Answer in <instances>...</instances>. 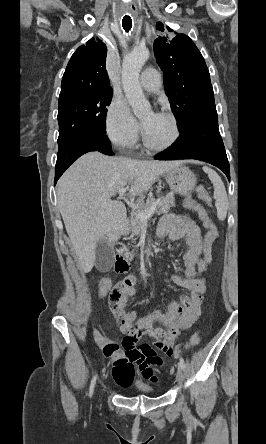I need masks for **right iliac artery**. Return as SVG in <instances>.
Segmentation results:
<instances>
[{
  "mask_svg": "<svg viewBox=\"0 0 266 444\" xmlns=\"http://www.w3.org/2000/svg\"><path fill=\"white\" fill-rule=\"evenodd\" d=\"M96 379H97V375H95L93 377V380L91 381V386H90V391H89V395L90 396H92V394H93V390H94V386H95V383H96Z\"/></svg>",
  "mask_w": 266,
  "mask_h": 444,
  "instance_id": "right-iliac-artery-1",
  "label": "right iliac artery"
}]
</instances>
